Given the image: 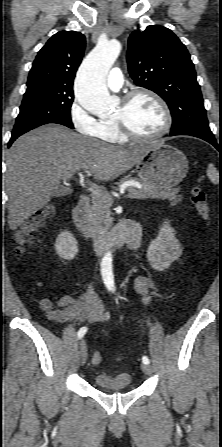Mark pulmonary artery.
<instances>
[{"mask_svg": "<svg viewBox=\"0 0 222 447\" xmlns=\"http://www.w3.org/2000/svg\"><path fill=\"white\" fill-rule=\"evenodd\" d=\"M107 85L112 90H118L122 87L123 75L119 68L112 69L107 79Z\"/></svg>", "mask_w": 222, "mask_h": 447, "instance_id": "obj_1", "label": "pulmonary artery"}]
</instances>
